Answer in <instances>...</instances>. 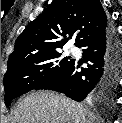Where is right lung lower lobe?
Returning <instances> with one entry per match:
<instances>
[{
    "label": "right lung lower lobe",
    "mask_w": 122,
    "mask_h": 123,
    "mask_svg": "<svg viewBox=\"0 0 122 123\" xmlns=\"http://www.w3.org/2000/svg\"><path fill=\"white\" fill-rule=\"evenodd\" d=\"M78 47L83 49L87 67L78 71L80 66L73 60L63 73L36 89L61 92L75 101L87 97L101 103L110 100L122 71V47L116 34L106 25Z\"/></svg>",
    "instance_id": "right-lung-lower-lobe-1"
}]
</instances>
